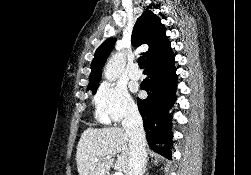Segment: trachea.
Masks as SVG:
<instances>
[{
    "mask_svg": "<svg viewBox=\"0 0 251 175\" xmlns=\"http://www.w3.org/2000/svg\"><path fill=\"white\" fill-rule=\"evenodd\" d=\"M138 64H139L140 68H145V57L144 56L139 57Z\"/></svg>",
    "mask_w": 251,
    "mask_h": 175,
    "instance_id": "1",
    "label": "trachea"
}]
</instances>
